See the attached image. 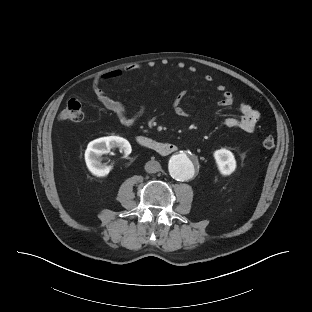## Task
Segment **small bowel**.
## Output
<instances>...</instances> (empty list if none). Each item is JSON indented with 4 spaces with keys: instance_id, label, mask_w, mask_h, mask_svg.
Segmentation results:
<instances>
[{
    "instance_id": "1",
    "label": "small bowel",
    "mask_w": 312,
    "mask_h": 312,
    "mask_svg": "<svg viewBox=\"0 0 312 312\" xmlns=\"http://www.w3.org/2000/svg\"><path fill=\"white\" fill-rule=\"evenodd\" d=\"M149 67H155L154 62H150ZM143 68L141 65L133 64L128 65L124 68L116 69L101 75H98L94 78L92 83L93 92L98 99V101L108 110L113 112L120 123L125 127H132L134 126L144 115L145 109L143 107H139L138 110L130 115L127 112L125 105L113 99L109 96L102 88V84L111 79H117L123 77L125 74L133 73V72H140ZM205 80L210 82L212 80L211 76L206 75ZM217 91L221 94V98L218 101L217 105L220 108H226L231 106L234 103L233 95L230 91L226 90L224 85L217 86ZM173 109L175 113L179 116H185V111L179 105V100L177 99L173 104ZM241 116L234 117L230 116L227 117L224 121L226 127L231 129H240L245 132H253L257 122L260 119V113L251 107L249 104L242 103L239 107Z\"/></svg>"
}]
</instances>
